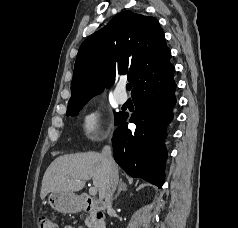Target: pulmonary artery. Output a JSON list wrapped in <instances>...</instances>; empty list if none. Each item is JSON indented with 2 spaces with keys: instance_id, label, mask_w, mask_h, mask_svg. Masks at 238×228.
Instances as JSON below:
<instances>
[{
  "instance_id": "1",
  "label": "pulmonary artery",
  "mask_w": 238,
  "mask_h": 228,
  "mask_svg": "<svg viewBox=\"0 0 238 228\" xmlns=\"http://www.w3.org/2000/svg\"><path fill=\"white\" fill-rule=\"evenodd\" d=\"M124 88H125L124 84L119 83L118 86L116 87L115 91H114L115 100L119 104H124L128 99L127 94L124 92V90H125Z\"/></svg>"
}]
</instances>
